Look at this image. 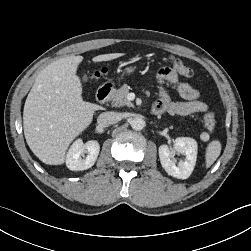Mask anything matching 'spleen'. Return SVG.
<instances>
[{
	"instance_id": "obj_1",
	"label": "spleen",
	"mask_w": 251,
	"mask_h": 251,
	"mask_svg": "<svg viewBox=\"0 0 251 251\" xmlns=\"http://www.w3.org/2000/svg\"><path fill=\"white\" fill-rule=\"evenodd\" d=\"M221 153V143L218 140L211 141L205 152L206 168H209L219 157Z\"/></svg>"
}]
</instances>
